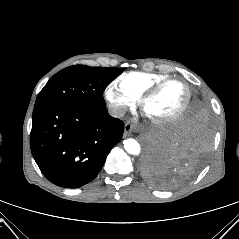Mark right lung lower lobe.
Segmentation results:
<instances>
[{"instance_id": "1", "label": "right lung lower lobe", "mask_w": 239, "mask_h": 239, "mask_svg": "<svg viewBox=\"0 0 239 239\" xmlns=\"http://www.w3.org/2000/svg\"><path fill=\"white\" fill-rule=\"evenodd\" d=\"M123 131L124 123L111 117L106 106L37 107L32 116L31 152L49 181L77 188L97 176Z\"/></svg>"}]
</instances>
